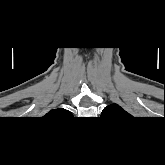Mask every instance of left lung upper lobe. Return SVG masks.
Masks as SVG:
<instances>
[{"mask_svg":"<svg viewBox=\"0 0 165 165\" xmlns=\"http://www.w3.org/2000/svg\"><path fill=\"white\" fill-rule=\"evenodd\" d=\"M123 115H128L126 111H124L119 105L112 104L108 107H105L102 111V116H108V117H121Z\"/></svg>","mask_w":165,"mask_h":165,"instance_id":"left-lung-upper-lobe-1","label":"left lung upper lobe"}]
</instances>
